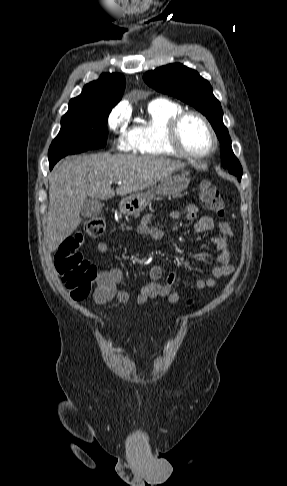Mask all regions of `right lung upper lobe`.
Here are the masks:
<instances>
[{
  "label": "right lung upper lobe",
  "instance_id": "1",
  "mask_svg": "<svg viewBox=\"0 0 287 486\" xmlns=\"http://www.w3.org/2000/svg\"><path fill=\"white\" fill-rule=\"evenodd\" d=\"M125 77L118 73H103L96 81L85 85L82 93L70 100L69 108L85 106H115L122 98Z\"/></svg>",
  "mask_w": 287,
  "mask_h": 486
}]
</instances>
